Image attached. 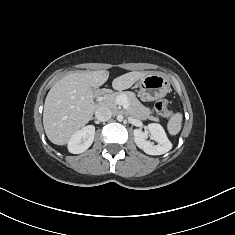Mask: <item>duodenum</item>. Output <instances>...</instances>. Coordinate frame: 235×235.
<instances>
[{
	"instance_id": "duodenum-1",
	"label": "duodenum",
	"mask_w": 235,
	"mask_h": 235,
	"mask_svg": "<svg viewBox=\"0 0 235 235\" xmlns=\"http://www.w3.org/2000/svg\"><path fill=\"white\" fill-rule=\"evenodd\" d=\"M108 93V90L106 89H101L98 91L97 97H102L103 95H106Z\"/></svg>"
}]
</instances>
